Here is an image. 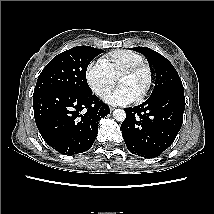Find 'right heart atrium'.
I'll return each instance as SVG.
<instances>
[{"label":"right heart atrium","instance_id":"d8ad5b80","mask_svg":"<svg viewBox=\"0 0 214 214\" xmlns=\"http://www.w3.org/2000/svg\"><path fill=\"white\" fill-rule=\"evenodd\" d=\"M85 80L91 91L100 98L107 96L116 81L101 60L88 64L85 69Z\"/></svg>","mask_w":214,"mask_h":214}]
</instances>
